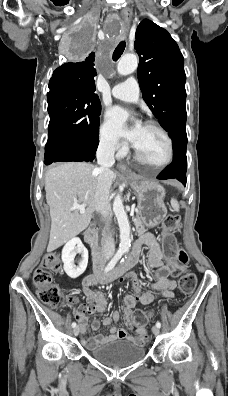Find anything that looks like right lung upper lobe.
<instances>
[{
    "instance_id": "cb5924a9",
    "label": "right lung upper lobe",
    "mask_w": 228,
    "mask_h": 396,
    "mask_svg": "<svg viewBox=\"0 0 228 396\" xmlns=\"http://www.w3.org/2000/svg\"><path fill=\"white\" fill-rule=\"evenodd\" d=\"M94 57L95 53L91 52L80 62L63 64L53 72L50 82H68L94 93L96 90L94 77L97 74Z\"/></svg>"
}]
</instances>
